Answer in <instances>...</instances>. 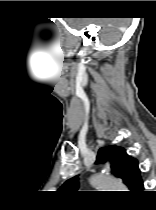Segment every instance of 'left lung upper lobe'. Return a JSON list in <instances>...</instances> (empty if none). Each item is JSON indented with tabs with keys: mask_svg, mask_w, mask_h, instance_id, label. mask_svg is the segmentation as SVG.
Segmentation results:
<instances>
[{
	"mask_svg": "<svg viewBox=\"0 0 156 210\" xmlns=\"http://www.w3.org/2000/svg\"><path fill=\"white\" fill-rule=\"evenodd\" d=\"M106 161L111 163V172L122 179L131 191L139 192L144 188L137 159L129 156L123 147L111 145L101 148L98 152L97 163ZM78 186V176H75L67 180L59 190L76 191Z\"/></svg>",
	"mask_w": 156,
	"mask_h": 210,
	"instance_id": "1",
	"label": "left lung upper lobe"
}]
</instances>
